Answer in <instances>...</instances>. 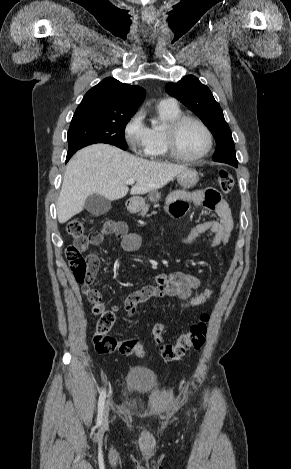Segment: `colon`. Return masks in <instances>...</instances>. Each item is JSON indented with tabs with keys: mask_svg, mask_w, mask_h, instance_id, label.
Wrapping results in <instances>:
<instances>
[{
	"mask_svg": "<svg viewBox=\"0 0 291 469\" xmlns=\"http://www.w3.org/2000/svg\"><path fill=\"white\" fill-rule=\"evenodd\" d=\"M219 188L224 194L231 192L233 188V176L225 168L218 171ZM87 219L74 218L67 225V232L76 239L75 243L66 249V258L71 271L77 282L83 285V291L91 303H98L100 297L96 290L91 288L96 275V266L89 257L85 256L83 249L88 244L98 242L102 238L101 230H94L86 234ZM99 319L94 336L95 350L101 354H109L119 351L124 355H135L143 358L146 352L137 339L119 342L115 337L108 334L115 322V312L106 307L94 309ZM209 316L203 314L198 323L193 324L187 331L183 332L174 344L163 342L164 324L156 323L152 329L153 340L158 346L159 354L165 361H176L181 359L190 350H199L205 343L207 336V324Z\"/></svg>",
	"mask_w": 291,
	"mask_h": 469,
	"instance_id": "5ec220e1",
	"label": "colon"
}]
</instances>
